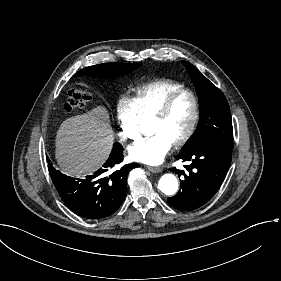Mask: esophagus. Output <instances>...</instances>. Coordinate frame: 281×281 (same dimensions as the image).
I'll return each mask as SVG.
<instances>
[{"label":"esophagus","instance_id":"obj_1","mask_svg":"<svg viewBox=\"0 0 281 281\" xmlns=\"http://www.w3.org/2000/svg\"><path fill=\"white\" fill-rule=\"evenodd\" d=\"M147 169L150 171V172H153V173H160L163 171V169L161 167H152V166H148Z\"/></svg>","mask_w":281,"mask_h":281}]
</instances>
